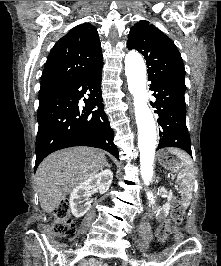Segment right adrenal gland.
I'll return each instance as SVG.
<instances>
[{"mask_svg":"<svg viewBox=\"0 0 221 266\" xmlns=\"http://www.w3.org/2000/svg\"><path fill=\"white\" fill-rule=\"evenodd\" d=\"M106 167L110 168L111 166L108 163H106Z\"/></svg>","mask_w":221,"mask_h":266,"instance_id":"obj_1","label":"right adrenal gland"}]
</instances>
